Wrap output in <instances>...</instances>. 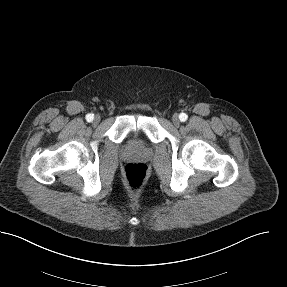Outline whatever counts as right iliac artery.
<instances>
[{
	"label": "right iliac artery",
	"mask_w": 287,
	"mask_h": 287,
	"mask_svg": "<svg viewBox=\"0 0 287 287\" xmlns=\"http://www.w3.org/2000/svg\"><path fill=\"white\" fill-rule=\"evenodd\" d=\"M93 119H94V115H93V114H87V115H86V120H87V122H92Z\"/></svg>",
	"instance_id": "82829eb1"
}]
</instances>
